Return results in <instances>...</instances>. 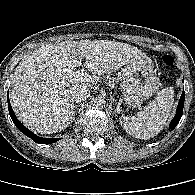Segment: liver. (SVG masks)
<instances>
[{"mask_svg": "<svg viewBox=\"0 0 195 195\" xmlns=\"http://www.w3.org/2000/svg\"><path fill=\"white\" fill-rule=\"evenodd\" d=\"M146 55L135 46L108 40L65 41L45 45L24 56L12 77L11 105L28 128L52 134L67 128L74 120L72 92L90 87L100 76L116 72L137 57ZM84 66L92 75L81 79L76 72Z\"/></svg>", "mask_w": 195, "mask_h": 195, "instance_id": "1", "label": "liver"}]
</instances>
